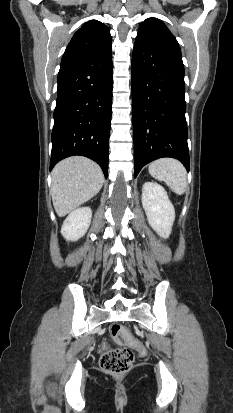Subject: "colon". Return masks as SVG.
Listing matches in <instances>:
<instances>
[{"instance_id":"colon-1","label":"colon","mask_w":233,"mask_h":413,"mask_svg":"<svg viewBox=\"0 0 233 413\" xmlns=\"http://www.w3.org/2000/svg\"><path fill=\"white\" fill-rule=\"evenodd\" d=\"M110 332L113 337L127 335L125 328L119 324H113L110 328ZM131 347L140 355L146 353L144 345L138 340H131ZM132 349H114L110 348L107 344H103L100 357V366L102 370L112 375H123L127 373L131 369L134 360Z\"/></svg>"}]
</instances>
